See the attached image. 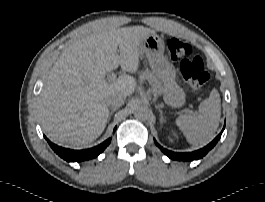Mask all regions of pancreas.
Instances as JSON below:
<instances>
[{
  "mask_svg": "<svg viewBox=\"0 0 265 202\" xmlns=\"http://www.w3.org/2000/svg\"><path fill=\"white\" fill-rule=\"evenodd\" d=\"M141 78L148 79L150 81L156 94H161L163 92L161 82L152 73L145 71L143 75H141Z\"/></svg>",
  "mask_w": 265,
  "mask_h": 202,
  "instance_id": "cf45deb5",
  "label": "pancreas"
}]
</instances>
